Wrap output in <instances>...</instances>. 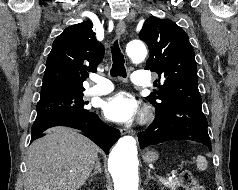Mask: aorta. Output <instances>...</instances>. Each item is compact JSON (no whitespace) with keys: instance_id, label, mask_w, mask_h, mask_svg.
I'll return each instance as SVG.
<instances>
[{"instance_id":"762f6f07","label":"aorta","mask_w":238,"mask_h":190,"mask_svg":"<svg viewBox=\"0 0 238 190\" xmlns=\"http://www.w3.org/2000/svg\"><path fill=\"white\" fill-rule=\"evenodd\" d=\"M127 55L135 63L147 55L144 43L132 40L126 47ZM109 171L113 177L114 190H138V159L136 140L126 135L121 137L109 156Z\"/></svg>"}]
</instances>
